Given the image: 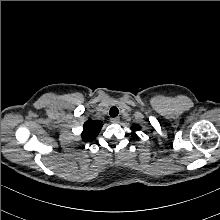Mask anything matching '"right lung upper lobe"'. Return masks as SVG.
Here are the masks:
<instances>
[{
	"label": "right lung upper lobe",
	"mask_w": 220,
	"mask_h": 220,
	"mask_svg": "<svg viewBox=\"0 0 220 220\" xmlns=\"http://www.w3.org/2000/svg\"><path fill=\"white\" fill-rule=\"evenodd\" d=\"M103 123L101 121L88 120L84 123L82 140L85 142L93 141L100 132Z\"/></svg>",
	"instance_id": "1"
}]
</instances>
